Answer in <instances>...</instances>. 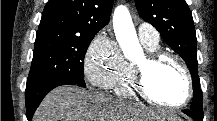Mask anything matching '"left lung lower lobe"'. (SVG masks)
<instances>
[{
    "label": "left lung lower lobe",
    "mask_w": 217,
    "mask_h": 121,
    "mask_svg": "<svg viewBox=\"0 0 217 121\" xmlns=\"http://www.w3.org/2000/svg\"><path fill=\"white\" fill-rule=\"evenodd\" d=\"M183 112H184L185 114H187L188 116L192 117V113H191L189 110L185 109V110H183ZM192 118H193V117H192Z\"/></svg>",
    "instance_id": "1"
}]
</instances>
